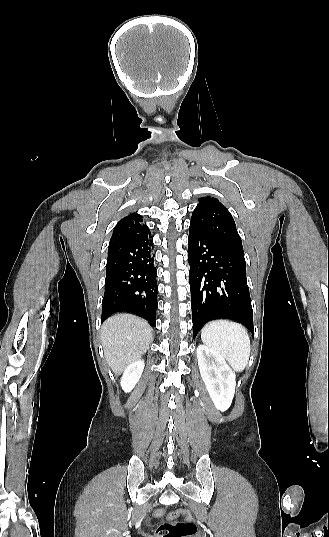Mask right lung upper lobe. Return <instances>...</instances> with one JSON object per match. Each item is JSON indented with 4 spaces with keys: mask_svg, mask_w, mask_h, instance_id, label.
<instances>
[{
    "mask_svg": "<svg viewBox=\"0 0 329 537\" xmlns=\"http://www.w3.org/2000/svg\"><path fill=\"white\" fill-rule=\"evenodd\" d=\"M146 225L142 224V218L140 215L132 213L123 219H121L114 228L110 244L127 240L140 233L148 230Z\"/></svg>",
    "mask_w": 329,
    "mask_h": 537,
    "instance_id": "right-lung-upper-lobe-1",
    "label": "right lung upper lobe"
}]
</instances>
